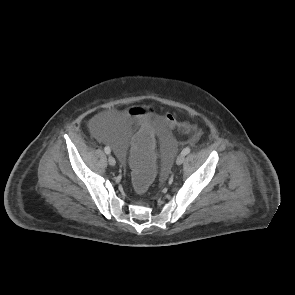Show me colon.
Returning <instances> with one entry per match:
<instances>
[{
	"label": "colon",
	"instance_id": "obj_1",
	"mask_svg": "<svg viewBox=\"0 0 295 295\" xmlns=\"http://www.w3.org/2000/svg\"><path fill=\"white\" fill-rule=\"evenodd\" d=\"M124 127H134L136 137L132 143L131 183L139 191L149 190L155 176V148L156 133L151 128L160 120V111L152 103L132 106L127 112L121 113ZM162 120L173 130L181 128L183 132L190 131V126L182 124V117L176 112H163Z\"/></svg>",
	"mask_w": 295,
	"mask_h": 295
}]
</instances>
